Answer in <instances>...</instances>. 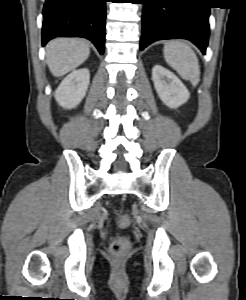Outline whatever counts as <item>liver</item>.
<instances>
[{"mask_svg": "<svg viewBox=\"0 0 246 300\" xmlns=\"http://www.w3.org/2000/svg\"><path fill=\"white\" fill-rule=\"evenodd\" d=\"M87 41L76 38H57L46 46V62L55 77L74 70L89 57Z\"/></svg>", "mask_w": 246, "mask_h": 300, "instance_id": "liver-1", "label": "liver"}]
</instances>
